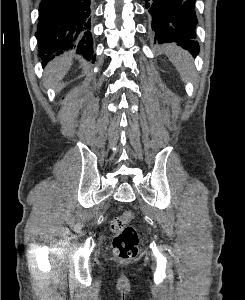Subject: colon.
<instances>
[{"label":"colon","mask_w":245,"mask_h":300,"mask_svg":"<svg viewBox=\"0 0 245 300\" xmlns=\"http://www.w3.org/2000/svg\"><path fill=\"white\" fill-rule=\"evenodd\" d=\"M134 215L131 211H124L112 219L111 231L114 234L113 250L117 258L128 260L136 257L138 253V234L130 225Z\"/></svg>","instance_id":"colon-1"}]
</instances>
